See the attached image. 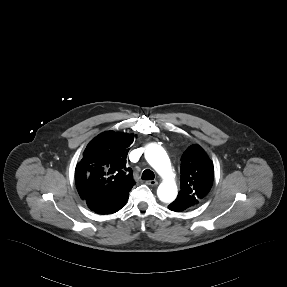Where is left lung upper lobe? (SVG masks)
Returning a JSON list of instances; mask_svg holds the SVG:
<instances>
[{
  "label": "left lung upper lobe",
  "mask_w": 287,
  "mask_h": 287,
  "mask_svg": "<svg viewBox=\"0 0 287 287\" xmlns=\"http://www.w3.org/2000/svg\"><path fill=\"white\" fill-rule=\"evenodd\" d=\"M180 192L170 205L177 212L192 208L206 196L214 179L213 163L199 145H191L181 157Z\"/></svg>",
  "instance_id": "left-lung-upper-lobe-1"
}]
</instances>
